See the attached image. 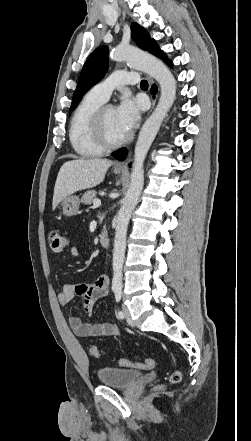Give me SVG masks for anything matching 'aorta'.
Wrapping results in <instances>:
<instances>
[{"mask_svg":"<svg viewBox=\"0 0 251 441\" xmlns=\"http://www.w3.org/2000/svg\"><path fill=\"white\" fill-rule=\"evenodd\" d=\"M110 57L114 61H125L130 67L149 74L159 83L161 89L158 105L139 133L134 151L130 186L117 216L112 263V289L120 290L122 287V267L126 250L127 228L143 189L144 161L163 119L175 101L176 80L162 61L135 48L117 47L111 52Z\"/></svg>","mask_w":251,"mask_h":441,"instance_id":"obj_1","label":"aorta"}]
</instances>
